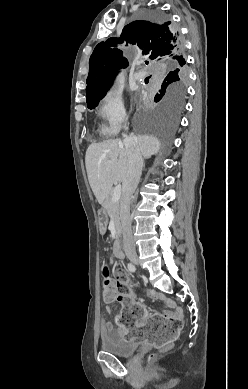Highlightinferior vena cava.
Here are the masks:
<instances>
[{
    "label": "inferior vena cava",
    "mask_w": 248,
    "mask_h": 389,
    "mask_svg": "<svg viewBox=\"0 0 248 389\" xmlns=\"http://www.w3.org/2000/svg\"><path fill=\"white\" fill-rule=\"evenodd\" d=\"M127 130V127H125ZM128 153V171L123 180V193L120 200V220L122 224L123 244L125 252H135L130 218V201L135 192L142 173L143 159L138 142L134 137L123 140Z\"/></svg>",
    "instance_id": "602c4592"
}]
</instances>
